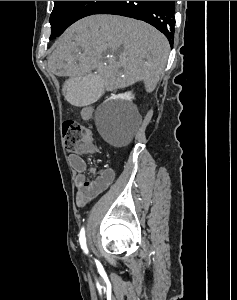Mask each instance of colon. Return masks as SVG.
Segmentation results:
<instances>
[{
	"label": "colon",
	"mask_w": 237,
	"mask_h": 300,
	"mask_svg": "<svg viewBox=\"0 0 237 300\" xmlns=\"http://www.w3.org/2000/svg\"><path fill=\"white\" fill-rule=\"evenodd\" d=\"M65 148L71 153H86L92 147V133L89 128L75 121L63 125Z\"/></svg>",
	"instance_id": "colon-1"
}]
</instances>
